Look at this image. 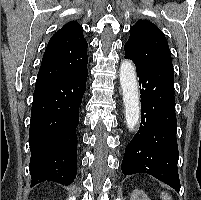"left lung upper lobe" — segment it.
I'll list each match as a JSON object with an SVG mask.
<instances>
[{"label":"left lung upper lobe","mask_w":201,"mask_h":200,"mask_svg":"<svg viewBox=\"0 0 201 200\" xmlns=\"http://www.w3.org/2000/svg\"><path fill=\"white\" fill-rule=\"evenodd\" d=\"M124 50L125 58L131 59L138 67H173L167 40L150 21L139 20L131 27Z\"/></svg>","instance_id":"1"}]
</instances>
